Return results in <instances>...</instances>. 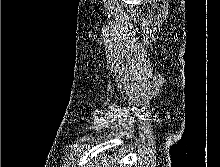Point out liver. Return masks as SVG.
Masks as SVG:
<instances>
[{"instance_id":"1","label":"liver","mask_w":220,"mask_h":167,"mask_svg":"<svg viewBox=\"0 0 220 167\" xmlns=\"http://www.w3.org/2000/svg\"><path fill=\"white\" fill-rule=\"evenodd\" d=\"M116 162V159L109 160V158H99L98 160H95L96 167H111Z\"/></svg>"}]
</instances>
